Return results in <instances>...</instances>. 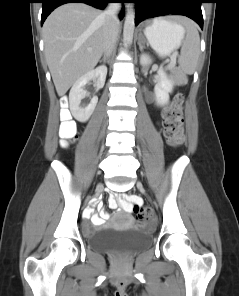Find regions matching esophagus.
I'll return each mask as SVG.
<instances>
[{"label":"esophagus","mask_w":239,"mask_h":296,"mask_svg":"<svg viewBox=\"0 0 239 296\" xmlns=\"http://www.w3.org/2000/svg\"><path fill=\"white\" fill-rule=\"evenodd\" d=\"M125 7H126V8H129V7H130V5H129V4H127V5H125Z\"/></svg>","instance_id":"1"}]
</instances>
